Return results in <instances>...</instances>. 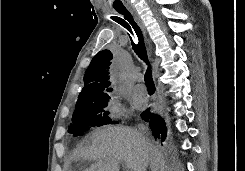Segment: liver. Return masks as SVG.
Returning <instances> with one entry per match:
<instances>
[{
	"instance_id": "1",
	"label": "liver",
	"mask_w": 245,
	"mask_h": 171,
	"mask_svg": "<svg viewBox=\"0 0 245 171\" xmlns=\"http://www.w3.org/2000/svg\"><path fill=\"white\" fill-rule=\"evenodd\" d=\"M92 143L80 150L78 158L95 161L86 171H119L124 162L131 171H172L163 154L140 132L128 127L106 126L92 133Z\"/></svg>"
}]
</instances>
